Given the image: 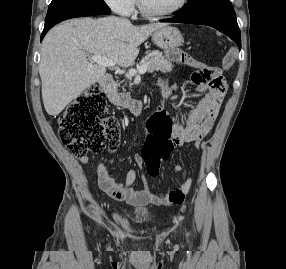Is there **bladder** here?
Segmentation results:
<instances>
[{"label": "bladder", "instance_id": "obj_1", "mask_svg": "<svg viewBox=\"0 0 286 269\" xmlns=\"http://www.w3.org/2000/svg\"><path fill=\"white\" fill-rule=\"evenodd\" d=\"M133 216L137 220L144 221V222L151 221L153 218L152 212L147 208H137L133 210Z\"/></svg>", "mask_w": 286, "mask_h": 269}]
</instances>
